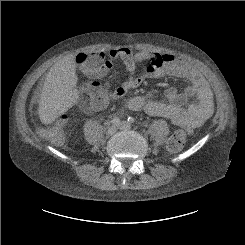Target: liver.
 I'll use <instances>...</instances> for the list:
<instances>
[{
	"label": "liver",
	"instance_id": "obj_1",
	"mask_svg": "<svg viewBox=\"0 0 245 245\" xmlns=\"http://www.w3.org/2000/svg\"><path fill=\"white\" fill-rule=\"evenodd\" d=\"M76 64L72 55L56 62L45 79L38 114L42 124H51L78 99Z\"/></svg>",
	"mask_w": 245,
	"mask_h": 245
}]
</instances>
